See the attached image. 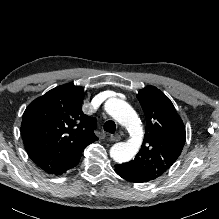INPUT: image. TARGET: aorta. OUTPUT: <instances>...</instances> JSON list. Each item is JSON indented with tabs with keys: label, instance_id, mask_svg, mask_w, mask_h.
<instances>
[{
	"label": "aorta",
	"instance_id": "1",
	"mask_svg": "<svg viewBox=\"0 0 219 219\" xmlns=\"http://www.w3.org/2000/svg\"><path fill=\"white\" fill-rule=\"evenodd\" d=\"M105 110L118 123L130 129L132 138L112 146L110 156L117 163L130 161L137 153L143 138V129L135 110L125 101L111 98L105 103Z\"/></svg>",
	"mask_w": 219,
	"mask_h": 219
}]
</instances>
